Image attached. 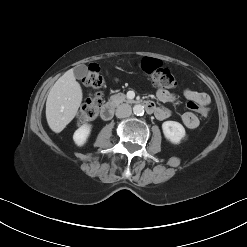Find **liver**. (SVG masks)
<instances>
[{
	"mask_svg": "<svg viewBox=\"0 0 247 247\" xmlns=\"http://www.w3.org/2000/svg\"><path fill=\"white\" fill-rule=\"evenodd\" d=\"M82 89L72 69L51 87L46 101V119L50 129L60 133L76 116L82 102Z\"/></svg>",
	"mask_w": 247,
	"mask_h": 247,
	"instance_id": "obj_1",
	"label": "liver"
}]
</instances>
